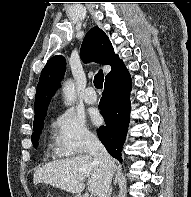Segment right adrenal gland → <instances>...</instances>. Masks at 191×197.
I'll return each mask as SVG.
<instances>
[{"label": "right adrenal gland", "mask_w": 191, "mask_h": 197, "mask_svg": "<svg viewBox=\"0 0 191 197\" xmlns=\"http://www.w3.org/2000/svg\"><path fill=\"white\" fill-rule=\"evenodd\" d=\"M111 192H112V190L110 191L109 197H110V195H111Z\"/></svg>", "instance_id": "obj_1"}]
</instances>
